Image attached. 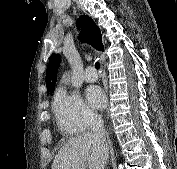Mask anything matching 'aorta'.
I'll list each match as a JSON object with an SVG mask.
<instances>
[{
  "mask_svg": "<svg viewBox=\"0 0 177 169\" xmlns=\"http://www.w3.org/2000/svg\"><path fill=\"white\" fill-rule=\"evenodd\" d=\"M62 80L65 81V82L67 81L66 74L63 75Z\"/></svg>",
  "mask_w": 177,
  "mask_h": 169,
  "instance_id": "aorta-1",
  "label": "aorta"
}]
</instances>
